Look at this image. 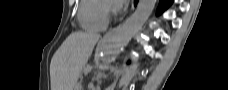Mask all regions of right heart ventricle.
<instances>
[{
  "label": "right heart ventricle",
  "mask_w": 228,
  "mask_h": 90,
  "mask_svg": "<svg viewBox=\"0 0 228 90\" xmlns=\"http://www.w3.org/2000/svg\"><path fill=\"white\" fill-rule=\"evenodd\" d=\"M107 1L82 0L78 9L79 22L85 30L102 31L106 28L105 7Z\"/></svg>",
  "instance_id": "right-heart-ventricle-1"
}]
</instances>
